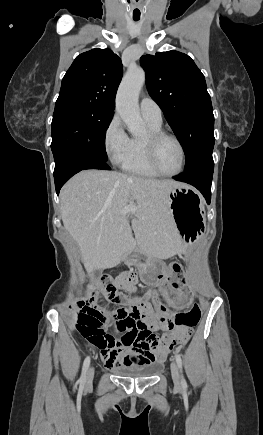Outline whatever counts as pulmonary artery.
Wrapping results in <instances>:
<instances>
[{
    "label": "pulmonary artery",
    "mask_w": 263,
    "mask_h": 435,
    "mask_svg": "<svg viewBox=\"0 0 263 435\" xmlns=\"http://www.w3.org/2000/svg\"><path fill=\"white\" fill-rule=\"evenodd\" d=\"M141 115L156 123L162 122V111L159 105L151 98L144 97L140 102Z\"/></svg>",
    "instance_id": "pulmonary-artery-1"
}]
</instances>
